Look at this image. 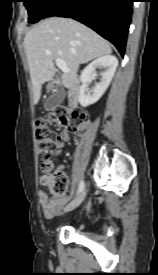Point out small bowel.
<instances>
[{
    "label": "small bowel",
    "instance_id": "small-bowel-1",
    "mask_svg": "<svg viewBox=\"0 0 158 275\" xmlns=\"http://www.w3.org/2000/svg\"><path fill=\"white\" fill-rule=\"evenodd\" d=\"M69 140V134L67 131H62L59 134V137L57 139L55 149L53 151V157H57L59 153L61 152L62 147L66 144V142ZM48 161L44 162L42 164V171H46V164ZM68 199V195L63 196L61 199H52L49 200L48 195L45 192L40 193V202H41V208L43 215L47 219L53 218L59 210L65 205L66 201Z\"/></svg>",
    "mask_w": 158,
    "mask_h": 275
}]
</instances>
